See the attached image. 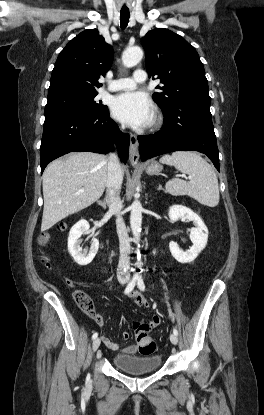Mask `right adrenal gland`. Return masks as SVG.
I'll return each instance as SVG.
<instances>
[{"mask_svg": "<svg viewBox=\"0 0 264 415\" xmlns=\"http://www.w3.org/2000/svg\"><path fill=\"white\" fill-rule=\"evenodd\" d=\"M103 208H106V206H107V203H106V201L105 200H103V201H99L98 202Z\"/></svg>", "mask_w": 264, "mask_h": 415, "instance_id": "1", "label": "right adrenal gland"}]
</instances>
